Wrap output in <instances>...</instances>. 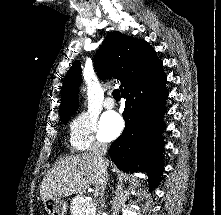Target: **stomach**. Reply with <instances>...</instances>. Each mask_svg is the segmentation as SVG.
Masks as SVG:
<instances>
[{"label":"stomach","instance_id":"obj_1","mask_svg":"<svg viewBox=\"0 0 221 215\" xmlns=\"http://www.w3.org/2000/svg\"><path fill=\"white\" fill-rule=\"evenodd\" d=\"M44 207L49 215H66L67 203L61 198H49L44 201Z\"/></svg>","mask_w":221,"mask_h":215}]
</instances>
